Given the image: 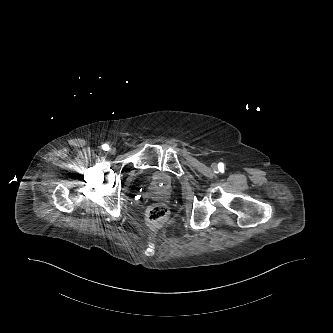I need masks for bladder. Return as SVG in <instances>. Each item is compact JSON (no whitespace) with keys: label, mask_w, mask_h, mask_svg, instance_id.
I'll return each instance as SVG.
<instances>
[{"label":"bladder","mask_w":333,"mask_h":333,"mask_svg":"<svg viewBox=\"0 0 333 333\" xmlns=\"http://www.w3.org/2000/svg\"><path fill=\"white\" fill-rule=\"evenodd\" d=\"M151 186L157 192L169 193L172 191L174 183L172 178L163 171H154L150 177Z\"/></svg>","instance_id":"31cf9c89"}]
</instances>
